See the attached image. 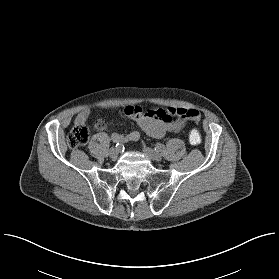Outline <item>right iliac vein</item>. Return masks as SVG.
Returning a JSON list of instances; mask_svg holds the SVG:
<instances>
[{
    "label": "right iliac vein",
    "instance_id": "1",
    "mask_svg": "<svg viewBox=\"0 0 279 279\" xmlns=\"http://www.w3.org/2000/svg\"><path fill=\"white\" fill-rule=\"evenodd\" d=\"M119 154V150L115 147H112L109 151V156L112 158V159H116L117 156Z\"/></svg>",
    "mask_w": 279,
    "mask_h": 279
}]
</instances>
